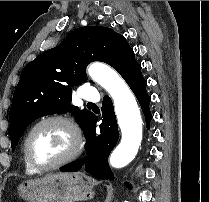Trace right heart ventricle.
<instances>
[{
	"instance_id": "obj_1",
	"label": "right heart ventricle",
	"mask_w": 209,
	"mask_h": 202,
	"mask_svg": "<svg viewBox=\"0 0 209 202\" xmlns=\"http://www.w3.org/2000/svg\"><path fill=\"white\" fill-rule=\"evenodd\" d=\"M23 163H24V169H25V172L30 174V173H36L37 171L34 170L26 161L25 159V156H24V153H23Z\"/></svg>"
}]
</instances>
